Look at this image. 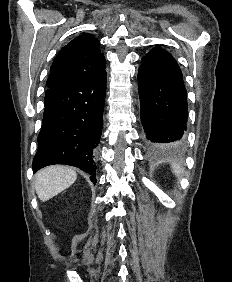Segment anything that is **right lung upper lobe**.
Returning <instances> with one entry per match:
<instances>
[{
  "label": "right lung upper lobe",
  "instance_id": "right-lung-upper-lobe-1",
  "mask_svg": "<svg viewBox=\"0 0 232 282\" xmlns=\"http://www.w3.org/2000/svg\"><path fill=\"white\" fill-rule=\"evenodd\" d=\"M99 47L93 35L83 34L59 51L51 65L44 104L77 82L105 71V57Z\"/></svg>",
  "mask_w": 232,
  "mask_h": 282
}]
</instances>
